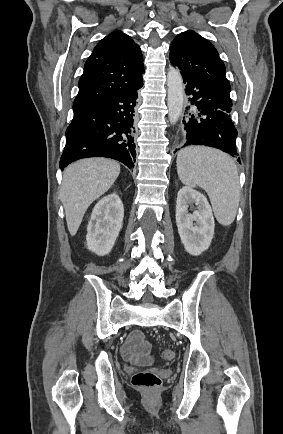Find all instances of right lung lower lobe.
<instances>
[{
  "mask_svg": "<svg viewBox=\"0 0 283 434\" xmlns=\"http://www.w3.org/2000/svg\"><path fill=\"white\" fill-rule=\"evenodd\" d=\"M142 86L143 82L129 91L73 109L74 117L66 130V145L59 163L61 169L88 157H109L133 167L134 108L137 90Z\"/></svg>",
  "mask_w": 283,
  "mask_h": 434,
  "instance_id": "right-lung-lower-lobe-1",
  "label": "right lung lower lobe"
}]
</instances>
